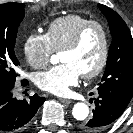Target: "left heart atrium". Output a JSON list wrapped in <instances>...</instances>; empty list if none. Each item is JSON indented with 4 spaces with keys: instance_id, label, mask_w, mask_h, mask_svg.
<instances>
[{
    "instance_id": "obj_1",
    "label": "left heart atrium",
    "mask_w": 133,
    "mask_h": 133,
    "mask_svg": "<svg viewBox=\"0 0 133 133\" xmlns=\"http://www.w3.org/2000/svg\"><path fill=\"white\" fill-rule=\"evenodd\" d=\"M80 75L81 73L72 63L62 62L45 72L37 73L35 83L46 92L63 96L68 93L70 87L77 84Z\"/></svg>"
}]
</instances>
